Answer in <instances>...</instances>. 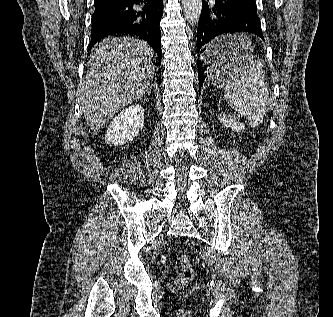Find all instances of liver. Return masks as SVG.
Here are the masks:
<instances>
[{"instance_id": "1", "label": "liver", "mask_w": 333, "mask_h": 317, "mask_svg": "<svg viewBox=\"0 0 333 317\" xmlns=\"http://www.w3.org/2000/svg\"><path fill=\"white\" fill-rule=\"evenodd\" d=\"M153 56L145 41L131 37L107 38L91 50L78 97L92 131L149 91Z\"/></svg>"}]
</instances>
